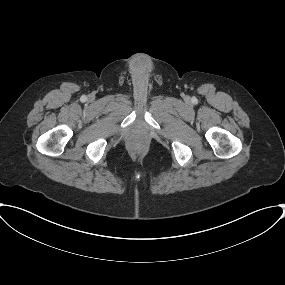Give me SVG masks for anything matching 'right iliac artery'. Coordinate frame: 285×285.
Returning a JSON list of instances; mask_svg holds the SVG:
<instances>
[{
	"label": "right iliac artery",
	"instance_id": "right-iliac-artery-1",
	"mask_svg": "<svg viewBox=\"0 0 285 285\" xmlns=\"http://www.w3.org/2000/svg\"><path fill=\"white\" fill-rule=\"evenodd\" d=\"M82 100H86V96H83V97H82Z\"/></svg>",
	"mask_w": 285,
	"mask_h": 285
}]
</instances>
